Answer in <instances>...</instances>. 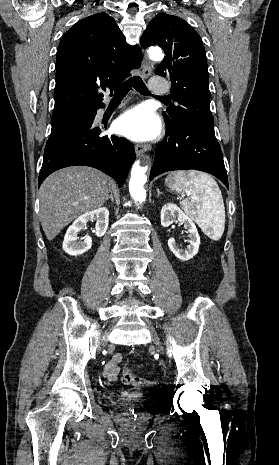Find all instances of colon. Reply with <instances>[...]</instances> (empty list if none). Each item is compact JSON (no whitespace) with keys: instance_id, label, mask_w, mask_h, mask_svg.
Instances as JSON below:
<instances>
[{"instance_id":"colon-1","label":"colon","mask_w":279,"mask_h":465,"mask_svg":"<svg viewBox=\"0 0 279 465\" xmlns=\"http://www.w3.org/2000/svg\"><path fill=\"white\" fill-rule=\"evenodd\" d=\"M121 380L124 384L131 385L134 387L141 386H155L156 380L145 379L142 377L135 376L128 367H125L121 374Z\"/></svg>"}]
</instances>
